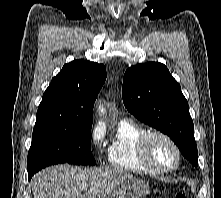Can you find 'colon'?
<instances>
[{"mask_svg":"<svg viewBox=\"0 0 221 198\" xmlns=\"http://www.w3.org/2000/svg\"><path fill=\"white\" fill-rule=\"evenodd\" d=\"M174 198H186V196L183 193H177Z\"/></svg>","mask_w":221,"mask_h":198,"instance_id":"colon-1","label":"colon"}]
</instances>
